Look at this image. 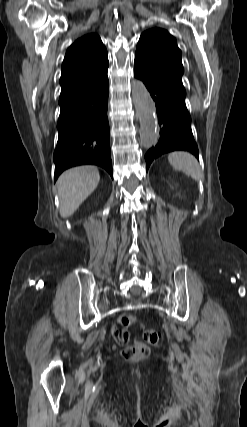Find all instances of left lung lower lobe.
Instances as JSON below:
<instances>
[{"label":"left lung lower lobe","mask_w":247,"mask_h":427,"mask_svg":"<svg viewBox=\"0 0 247 427\" xmlns=\"http://www.w3.org/2000/svg\"><path fill=\"white\" fill-rule=\"evenodd\" d=\"M134 75L143 81L158 110L160 136L156 146L145 154L147 170L154 159L175 150L188 151L199 159L191 130V117L185 105L186 94L152 75L137 62L134 63Z\"/></svg>","instance_id":"1"}]
</instances>
